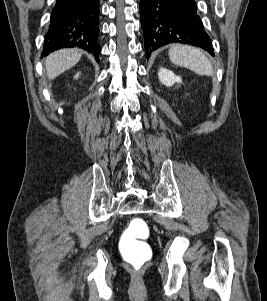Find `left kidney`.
Returning <instances> with one entry per match:
<instances>
[{"label": "left kidney", "mask_w": 267, "mask_h": 301, "mask_svg": "<svg viewBox=\"0 0 267 301\" xmlns=\"http://www.w3.org/2000/svg\"><path fill=\"white\" fill-rule=\"evenodd\" d=\"M158 78H159V81L167 87H170V86L174 85L175 83L182 82L181 77L175 75L172 71L165 69V68L159 69Z\"/></svg>", "instance_id": "5707ae66"}]
</instances>
